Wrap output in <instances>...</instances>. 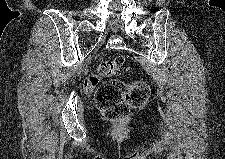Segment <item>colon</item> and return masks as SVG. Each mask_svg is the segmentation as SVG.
Returning a JSON list of instances; mask_svg holds the SVG:
<instances>
[{"instance_id":"colon-1","label":"colon","mask_w":225,"mask_h":159,"mask_svg":"<svg viewBox=\"0 0 225 159\" xmlns=\"http://www.w3.org/2000/svg\"><path fill=\"white\" fill-rule=\"evenodd\" d=\"M124 58L117 56L103 60L96 69L95 81L98 78H109L122 71ZM150 89L146 82L135 81L125 83L121 80L110 79L104 81L95 92V103L104 117L111 121L126 120L132 109L142 107L148 101Z\"/></svg>"}]
</instances>
